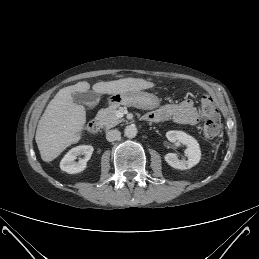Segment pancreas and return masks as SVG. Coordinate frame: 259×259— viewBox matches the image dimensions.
Segmentation results:
<instances>
[{
    "mask_svg": "<svg viewBox=\"0 0 259 259\" xmlns=\"http://www.w3.org/2000/svg\"><path fill=\"white\" fill-rule=\"evenodd\" d=\"M117 108L118 106H110L106 109L99 110L97 113L96 119L106 129L115 127L117 124L123 121V119H120L116 116Z\"/></svg>",
    "mask_w": 259,
    "mask_h": 259,
    "instance_id": "obj_1",
    "label": "pancreas"
}]
</instances>
